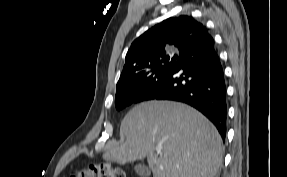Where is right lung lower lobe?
Returning a JSON list of instances; mask_svg holds the SVG:
<instances>
[{
	"label": "right lung lower lobe",
	"instance_id": "obj_1",
	"mask_svg": "<svg viewBox=\"0 0 287 177\" xmlns=\"http://www.w3.org/2000/svg\"><path fill=\"white\" fill-rule=\"evenodd\" d=\"M174 100L203 113L226 136V84L214 39L206 29L178 57L177 65L148 87L134 103Z\"/></svg>",
	"mask_w": 287,
	"mask_h": 177
}]
</instances>
